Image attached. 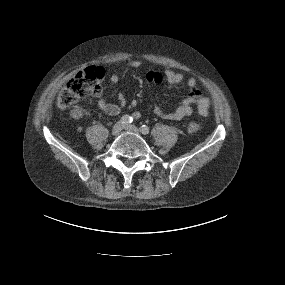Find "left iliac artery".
Here are the masks:
<instances>
[{"instance_id":"obj_1","label":"left iliac artery","mask_w":285,"mask_h":285,"mask_svg":"<svg viewBox=\"0 0 285 285\" xmlns=\"http://www.w3.org/2000/svg\"><path fill=\"white\" fill-rule=\"evenodd\" d=\"M140 131L142 132V134H148L149 133V127L146 125H142L140 127Z\"/></svg>"}]
</instances>
